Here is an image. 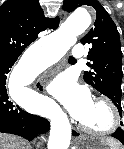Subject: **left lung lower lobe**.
Returning a JSON list of instances; mask_svg holds the SVG:
<instances>
[{"label":"left lung lower lobe","mask_w":124,"mask_h":149,"mask_svg":"<svg viewBox=\"0 0 124 149\" xmlns=\"http://www.w3.org/2000/svg\"><path fill=\"white\" fill-rule=\"evenodd\" d=\"M73 135L76 136V133H73ZM112 136L124 145V131L121 127H119Z\"/></svg>","instance_id":"0a47b994"}]
</instances>
